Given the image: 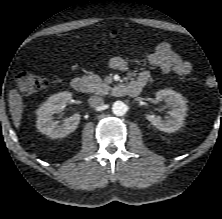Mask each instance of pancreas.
Wrapping results in <instances>:
<instances>
[{
	"mask_svg": "<svg viewBox=\"0 0 222 219\" xmlns=\"http://www.w3.org/2000/svg\"><path fill=\"white\" fill-rule=\"evenodd\" d=\"M87 82V92L95 93L99 95H105L111 89V87L95 74L84 76Z\"/></svg>",
	"mask_w": 222,
	"mask_h": 219,
	"instance_id": "cf45deb5",
	"label": "pancreas"
}]
</instances>
